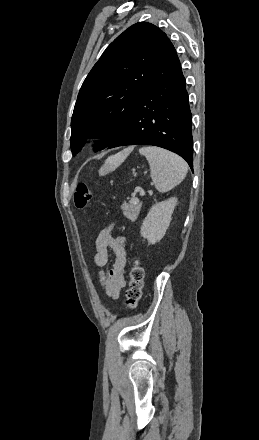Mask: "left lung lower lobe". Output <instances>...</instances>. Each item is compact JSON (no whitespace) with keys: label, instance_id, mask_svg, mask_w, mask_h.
I'll use <instances>...</instances> for the list:
<instances>
[{"label":"left lung lower lobe","instance_id":"0a47b994","mask_svg":"<svg viewBox=\"0 0 259 440\" xmlns=\"http://www.w3.org/2000/svg\"><path fill=\"white\" fill-rule=\"evenodd\" d=\"M191 119L186 81L168 39L145 90L108 148L154 145L180 155L193 169Z\"/></svg>","mask_w":259,"mask_h":440}]
</instances>
